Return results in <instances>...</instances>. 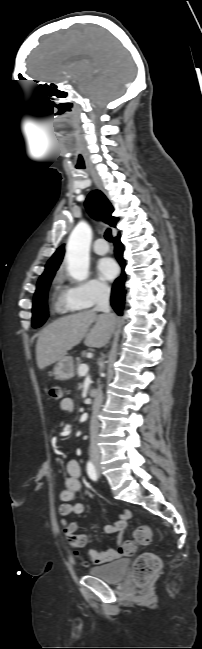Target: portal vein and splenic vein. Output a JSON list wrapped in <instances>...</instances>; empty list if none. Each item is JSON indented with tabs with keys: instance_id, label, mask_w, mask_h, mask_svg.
Masks as SVG:
<instances>
[{
	"instance_id": "obj_1",
	"label": "portal vein and splenic vein",
	"mask_w": 202,
	"mask_h": 649,
	"mask_svg": "<svg viewBox=\"0 0 202 649\" xmlns=\"http://www.w3.org/2000/svg\"><path fill=\"white\" fill-rule=\"evenodd\" d=\"M88 370H89V369H88V366L85 365V364H83V365H81V366L79 367V374H80L81 376H85V375L88 373Z\"/></svg>"
}]
</instances>
